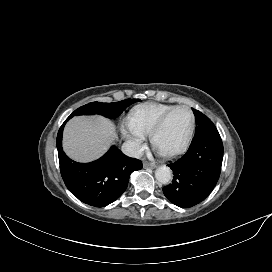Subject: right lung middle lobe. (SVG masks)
Returning <instances> with one entry per match:
<instances>
[{
  "label": "right lung middle lobe",
  "instance_id": "1",
  "mask_svg": "<svg viewBox=\"0 0 272 272\" xmlns=\"http://www.w3.org/2000/svg\"><path fill=\"white\" fill-rule=\"evenodd\" d=\"M140 101L139 99H126L113 103L91 102L76 109L69 117L77 115L100 114L108 118H117L129 105Z\"/></svg>",
  "mask_w": 272,
  "mask_h": 272
}]
</instances>
